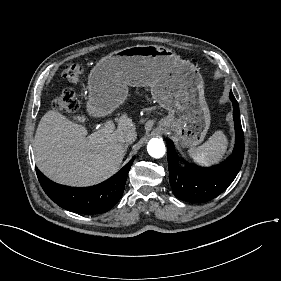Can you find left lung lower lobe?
Returning <instances> with one entry per match:
<instances>
[{"instance_id": "left-lung-lower-lobe-1", "label": "left lung lower lobe", "mask_w": 281, "mask_h": 281, "mask_svg": "<svg viewBox=\"0 0 281 281\" xmlns=\"http://www.w3.org/2000/svg\"><path fill=\"white\" fill-rule=\"evenodd\" d=\"M230 99L233 104L236 139L232 155L223 163L209 168L188 163H185V167H179V157L172 142L167 141L170 184L177 198L192 203L209 201L221 194L238 174L244 157V134L240 122L239 105L232 91H230Z\"/></svg>"}]
</instances>
